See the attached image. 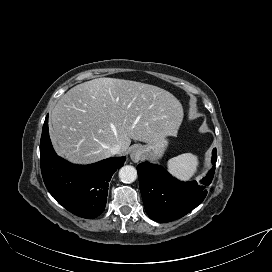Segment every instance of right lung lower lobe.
Wrapping results in <instances>:
<instances>
[{"label":"right lung lower lobe","instance_id":"right-lung-lower-lobe-1","mask_svg":"<svg viewBox=\"0 0 272 272\" xmlns=\"http://www.w3.org/2000/svg\"><path fill=\"white\" fill-rule=\"evenodd\" d=\"M125 157H112L90 165H74L55 153L45 119L40 141L41 172L50 194L71 213L92 219L105 208L108 185Z\"/></svg>","mask_w":272,"mask_h":272}]
</instances>
